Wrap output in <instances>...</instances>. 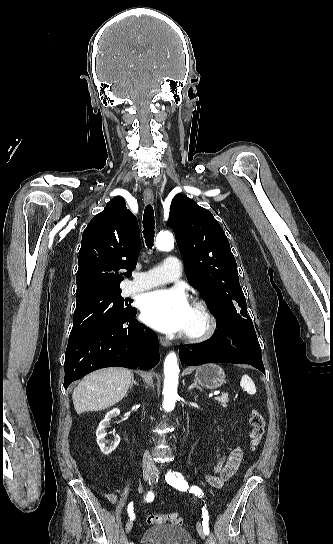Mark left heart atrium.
<instances>
[{"label": "left heart atrium", "mask_w": 333, "mask_h": 544, "mask_svg": "<svg viewBox=\"0 0 333 544\" xmlns=\"http://www.w3.org/2000/svg\"><path fill=\"white\" fill-rule=\"evenodd\" d=\"M192 307L182 289L152 291L141 301V318L150 327L164 333L185 331Z\"/></svg>", "instance_id": "left-heart-atrium-1"}]
</instances>
